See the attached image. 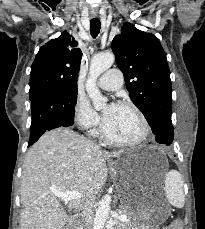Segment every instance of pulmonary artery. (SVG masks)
I'll use <instances>...</instances> for the list:
<instances>
[{
  "label": "pulmonary artery",
  "instance_id": "1",
  "mask_svg": "<svg viewBox=\"0 0 205 229\" xmlns=\"http://www.w3.org/2000/svg\"><path fill=\"white\" fill-rule=\"evenodd\" d=\"M122 72L119 69H110L98 80V84L105 90H116L122 85Z\"/></svg>",
  "mask_w": 205,
  "mask_h": 229
}]
</instances>
